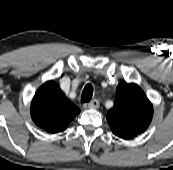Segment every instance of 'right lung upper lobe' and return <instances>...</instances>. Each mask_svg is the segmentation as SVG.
<instances>
[{
    "label": "right lung upper lobe",
    "instance_id": "cb5924a9",
    "mask_svg": "<svg viewBox=\"0 0 173 170\" xmlns=\"http://www.w3.org/2000/svg\"><path fill=\"white\" fill-rule=\"evenodd\" d=\"M80 113L53 81L43 84L35 93L31 103V117L34 123L48 133L64 131Z\"/></svg>",
    "mask_w": 173,
    "mask_h": 170
}]
</instances>
